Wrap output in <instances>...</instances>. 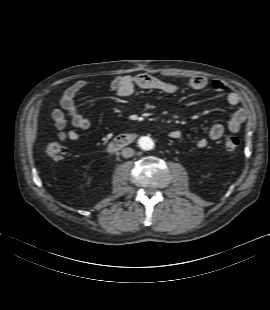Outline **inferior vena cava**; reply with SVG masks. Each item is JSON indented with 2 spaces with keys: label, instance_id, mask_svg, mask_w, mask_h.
I'll use <instances>...</instances> for the list:
<instances>
[{
  "label": "inferior vena cava",
  "instance_id": "inferior-vena-cava-1",
  "mask_svg": "<svg viewBox=\"0 0 270 310\" xmlns=\"http://www.w3.org/2000/svg\"><path fill=\"white\" fill-rule=\"evenodd\" d=\"M134 153H135L134 150L132 148H130V147L124 148L122 150V156L124 158H130V157H132L134 155Z\"/></svg>",
  "mask_w": 270,
  "mask_h": 310
}]
</instances>
